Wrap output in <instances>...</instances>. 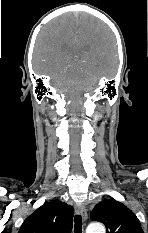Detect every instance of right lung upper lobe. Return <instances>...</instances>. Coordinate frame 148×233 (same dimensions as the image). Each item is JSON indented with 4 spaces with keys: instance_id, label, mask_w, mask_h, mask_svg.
Instances as JSON below:
<instances>
[{
    "instance_id": "obj_1",
    "label": "right lung upper lobe",
    "mask_w": 148,
    "mask_h": 233,
    "mask_svg": "<svg viewBox=\"0 0 148 233\" xmlns=\"http://www.w3.org/2000/svg\"><path fill=\"white\" fill-rule=\"evenodd\" d=\"M73 213L64 202H46L25 219L18 233H71Z\"/></svg>"
}]
</instances>
